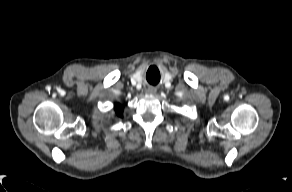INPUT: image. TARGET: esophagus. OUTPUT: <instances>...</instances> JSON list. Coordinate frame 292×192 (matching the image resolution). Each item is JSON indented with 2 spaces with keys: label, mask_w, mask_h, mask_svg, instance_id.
<instances>
[{
  "label": "esophagus",
  "mask_w": 292,
  "mask_h": 192,
  "mask_svg": "<svg viewBox=\"0 0 292 192\" xmlns=\"http://www.w3.org/2000/svg\"><path fill=\"white\" fill-rule=\"evenodd\" d=\"M146 93H147V94H150V95H154V94H156V89L153 88V87H149V88L146 90Z\"/></svg>",
  "instance_id": "esophagus-1"
}]
</instances>
